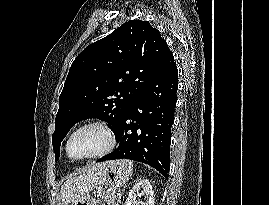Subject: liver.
<instances>
[{
  "instance_id": "6515ba94",
  "label": "liver",
  "mask_w": 269,
  "mask_h": 205,
  "mask_svg": "<svg viewBox=\"0 0 269 205\" xmlns=\"http://www.w3.org/2000/svg\"><path fill=\"white\" fill-rule=\"evenodd\" d=\"M108 163H93L82 174L68 179L61 186L62 204L68 205L72 201L94 190Z\"/></svg>"
}]
</instances>
